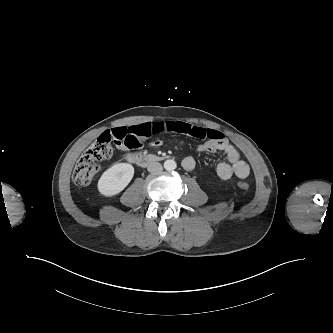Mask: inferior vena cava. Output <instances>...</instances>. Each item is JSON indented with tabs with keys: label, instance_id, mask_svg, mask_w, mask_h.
Instances as JSON below:
<instances>
[{
	"label": "inferior vena cava",
	"instance_id": "602c4592",
	"mask_svg": "<svg viewBox=\"0 0 333 333\" xmlns=\"http://www.w3.org/2000/svg\"><path fill=\"white\" fill-rule=\"evenodd\" d=\"M147 170L150 173H158V172H161L163 170V167L160 163L153 162V163H150L148 165Z\"/></svg>",
	"mask_w": 333,
	"mask_h": 333
}]
</instances>
